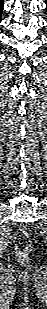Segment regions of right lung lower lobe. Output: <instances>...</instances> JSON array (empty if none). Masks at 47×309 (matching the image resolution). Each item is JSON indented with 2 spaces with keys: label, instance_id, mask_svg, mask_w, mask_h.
Returning <instances> with one entry per match:
<instances>
[{
  "label": "right lung lower lobe",
  "instance_id": "obj_1",
  "mask_svg": "<svg viewBox=\"0 0 47 309\" xmlns=\"http://www.w3.org/2000/svg\"><path fill=\"white\" fill-rule=\"evenodd\" d=\"M3 5H4L3 0H0V16L3 10Z\"/></svg>",
  "mask_w": 47,
  "mask_h": 309
}]
</instances>
